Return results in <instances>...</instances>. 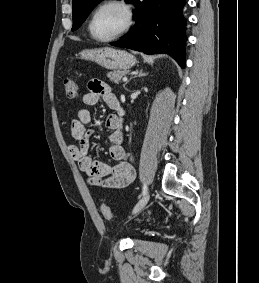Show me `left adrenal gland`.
<instances>
[{
	"instance_id": "1",
	"label": "left adrenal gland",
	"mask_w": 259,
	"mask_h": 283,
	"mask_svg": "<svg viewBox=\"0 0 259 283\" xmlns=\"http://www.w3.org/2000/svg\"><path fill=\"white\" fill-rule=\"evenodd\" d=\"M146 75H147V73H143V70L141 69V70L138 71V74L135 75V76H133V77H131V78L126 82V84H127L131 79H133V78H135V77H143V76H146ZM126 84H125V85H126ZM125 85H124V88H125Z\"/></svg>"
}]
</instances>
